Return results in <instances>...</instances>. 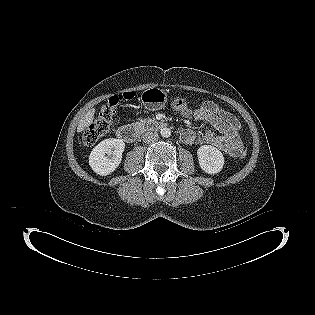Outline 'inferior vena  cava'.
<instances>
[{"label": "inferior vena cava", "instance_id": "obj_1", "mask_svg": "<svg viewBox=\"0 0 315 315\" xmlns=\"http://www.w3.org/2000/svg\"><path fill=\"white\" fill-rule=\"evenodd\" d=\"M159 138L158 133L156 132H148L145 133L143 136V142L144 143H151L156 141Z\"/></svg>", "mask_w": 315, "mask_h": 315}]
</instances>
